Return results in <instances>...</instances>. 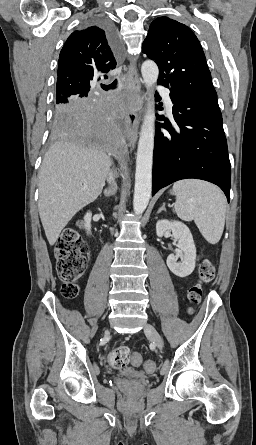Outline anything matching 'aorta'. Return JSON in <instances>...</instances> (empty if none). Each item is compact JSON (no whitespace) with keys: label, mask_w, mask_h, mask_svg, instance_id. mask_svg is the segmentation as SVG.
Instances as JSON below:
<instances>
[{"label":"aorta","mask_w":256,"mask_h":445,"mask_svg":"<svg viewBox=\"0 0 256 445\" xmlns=\"http://www.w3.org/2000/svg\"><path fill=\"white\" fill-rule=\"evenodd\" d=\"M141 73L144 83L150 88L157 82L159 69L155 62L147 60L141 66ZM154 135V103L149 101L141 126L136 157L133 209L138 215L145 211L151 197Z\"/></svg>","instance_id":"762f6f07"}]
</instances>
